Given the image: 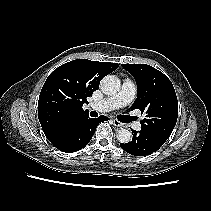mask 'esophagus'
Listing matches in <instances>:
<instances>
[{"label":"esophagus","instance_id":"34e87169","mask_svg":"<svg viewBox=\"0 0 211 211\" xmlns=\"http://www.w3.org/2000/svg\"><path fill=\"white\" fill-rule=\"evenodd\" d=\"M113 125L116 127H121L123 124L117 119H112Z\"/></svg>","mask_w":211,"mask_h":211}]
</instances>
